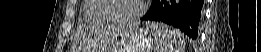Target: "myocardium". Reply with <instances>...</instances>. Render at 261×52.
<instances>
[{
    "mask_svg": "<svg viewBox=\"0 0 261 52\" xmlns=\"http://www.w3.org/2000/svg\"><path fill=\"white\" fill-rule=\"evenodd\" d=\"M115 1H117V0H108L107 1V7H106V9L109 11V14L111 16L113 23H118V24L135 23L137 20H139L142 17V15L144 14V12L146 10V1L140 0L141 1L140 7L137 10V12L135 14H133L132 16H130L128 18L114 17L113 16V10L115 8V3H114Z\"/></svg>",
    "mask_w": 261,
    "mask_h": 52,
    "instance_id": "myocardium-1",
    "label": "myocardium"
}]
</instances>
